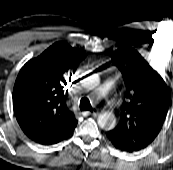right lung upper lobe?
Segmentation results:
<instances>
[{"instance_id": "cb5924a9", "label": "right lung upper lobe", "mask_w": 173, "mask_h": 170, "mask_svg": "<svg viewBox=\"0 0 173 170\" xmlns=\"http://www.w3.org/2000/svg\"><path fill=\"white\" fill-rule=\"evenodd\" d=\"M84 56L85 52L56 42L21 68L13 89V108L21 129L31 140L55 144L76 127L61 82Z\"/></svg>"}]
</instances>
